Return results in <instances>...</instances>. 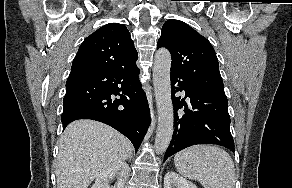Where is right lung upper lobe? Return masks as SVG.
<instances>
[{"label": "right lung upper lobe", "mask_w": 292, "mask_h": 188, "mask_svg": "<svg viewBox=\"0 0 292 188\" xmlns=\"http://www.w3.org/2000/svg\"><path fill=\"white\" fill-rule=\"evenodd\" d=\"M137 59L138 53L125 25L109 23L84 40L71 70L127 69L136 66Z\"/></svg>", "instance_id": "1"}]
</instances>
